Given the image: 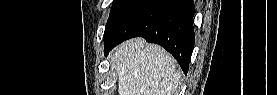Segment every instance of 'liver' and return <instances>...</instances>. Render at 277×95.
<instances>
[{"label": "liver", "instance_id": "6515ba94", "mask_svg": "<svg viewBox=\"0 0 277 95\" xmlns=\"http://www.w3.org/2000/svg\"><path fill=\"white\" fill-rule=\"evenodd\" d=\"M119 95H174L181 80L175 59L142 38L121 43L111 55Z\"/></svg>", "mask_w": 277, "mask_h": 95}]
</instances>
